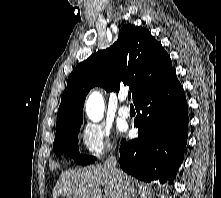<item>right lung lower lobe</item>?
<instances>
[{"instance_id":"right-lung-lower-lobe-1","label":"right lung lower lobe","mask_w":221,"mask_h":198,"mask_svg":"<svg viewBox=\"0 0 221 198\" xmlns=\"http://www.w3.org/2000/svg\"><path fill=\"white\" fill-rule=\"evenodd\" d=\"M135 107L138 138L122 140L120 166L140 180L165 183L169 179L171 184L183 160L188 128L187 101L175 70L147 91Z\"/></svg>"}]
</instances>
